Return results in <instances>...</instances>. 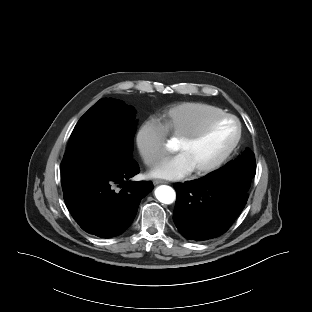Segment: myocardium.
I'll list each match as a JSON object with an SVG mask.
<instances>
[{"label": "myocardium", "instance_id": "1", "mask_svg": "<svg viewBox=\"0 0 312 312\" xmlns=\"http://www.w3.org/2000/svg\"><path fill=\"white\" fill-rule=\"evenodd\" d=\"M223 119H230L236 123V126H237L236 137L234 141L232 142V144L230 145V147L225 151V153L222 156H220L216 161H214L210 165L194 170L195 175L201 176V175H206L208 173H211L215 171L216 169H218L219 167H221L230 158V156L236 150L242 137L241 122L236 116L232 114L222 113L220 115L209 118L198 129L181 137L180 141L182 143L195 142L199 140L214 123Z\"/></svg>", "mask_w": 312, "mask_h": 312}]
</instances>
